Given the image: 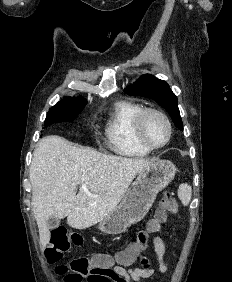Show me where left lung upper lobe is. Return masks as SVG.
<instances>
[{"mask_svg": "<svg viewBox=\"0 0 232 282\" xmlns=\"http://www.w3.org/2000/svg\"><path fill=\"white\" fill-rule=\"evenodd\" d=\"M124 92L132 96H143L153 99L162 106L173 119L180 130L183 129L177 96L171 91L169 85L152 75H142L135 83L125 88Z\"/></svg>", "mask_w": 232, "mask_h": 282, "instance_id": "5c2ea615", "label": "left lung upper lobe"}]
</instances>
